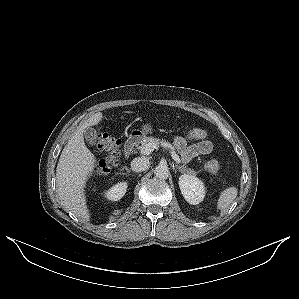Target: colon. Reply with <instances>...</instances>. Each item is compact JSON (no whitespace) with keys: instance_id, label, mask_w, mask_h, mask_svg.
<instances>
[{"instance_id":"colon-1","label":"colon","mask_w":299,"mask_h":299,"mask_svg":"<svg viewBox=\"0 0 299 299\" xmlns=\"http://www.w3.org/2000/svg\"><path fill=\"white\" fill-rule=\"evenodd\" d=\"M209 137V133L202 128H190L184 133V139L187 140H204ZM96 147L107 152V157L99 160L96 164V172L106 174L110 169L118 163L121 154L120 141L109 135H99L96 140ZM208 168L217 170L218 164L215 161L208 163Z\"/></svg>"}]
</instances>
